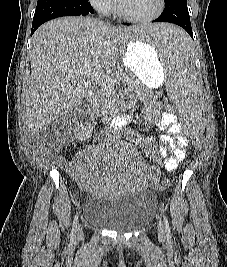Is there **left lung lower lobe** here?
Listing matches in <instances>:
<instances>
[{"instance_id":"1","label":"left lung lower lobe","mask_w":227,"mask_h":267,"mask_svg":"<svg viewBox=\"0 0 227 267\" xmlns=\"http://www.w3.org/2000/svg\"><path fill=\"white\" fill-rule=\"evenodd\" d=\"M153 22L174 23L184 28L193 39L187 0H165V8L161 15ZM125 25H129L126 24ZM179 46V44H176Z\"/></svg>"}]
</instances>
